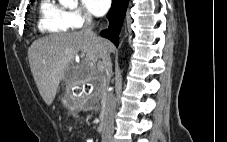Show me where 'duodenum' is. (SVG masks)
<instances>
[{
  "mask_svg": "<svg viewBox=\"0 0 227 142\" xmlns=\"http://www.w3.org/2000/svg\"><path fill=\"white\" fill-rule=\"evenodd\" d=\"M104 114H105V111L102 112V115H101V120H100V124L98 126V130L101 131L102 128H103V118H104Z\"/></svg>",
  "mask_w": 227,
  "mask_h": 142,
  "instance_id": "1",
  "label": "duodenum"
}]
</instances>
